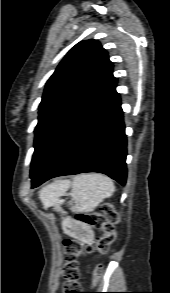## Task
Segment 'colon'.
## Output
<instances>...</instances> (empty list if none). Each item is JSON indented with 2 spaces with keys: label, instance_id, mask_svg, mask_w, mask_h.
Here are the masks:
<instances>
[{
  "label": "colon",
  "instance_id": "obj_1",
  "mask_svg": "<svg viewBox=\"0 0 170 293\" xmlns=\"http://www.w3.org/2000/svg\"><path fill=\"white\" fill-rule=\"evenodd\" d=\"M78 221L91 225L102 230V235L97 238L94 246H83L80 242L74 240H65L63 242V260L64 265L62 274L64 278V291L59 293H87L81 292L77 260L82 255H91L94 253L104 254L108 251L110 244L117 237V224L120 222V215L111 203H105L101 212L92 214H79ZM70 225L69 220H65L64 226ZM102 277V268L99 266L94 272V282Z\"/></svg>",
  "mask_w": 170,
  "mask_h": 293
}]
</instances>
